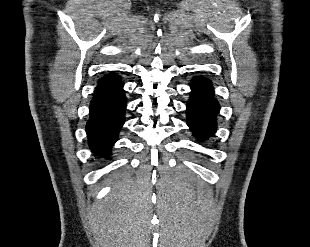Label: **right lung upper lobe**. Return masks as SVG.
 I'll return each mask as SVG.
<instances>
[{"mask_svg": "<svg viewBox=\"0 0 310 247\" xmlns=\"http://www.w3.org/2000/svg\"><path fill=\"white\" fill-rule=\"evenodd\" d=\"M118 80H119L118 75H109V76H106L100 79L98 83L101 84V83H107V82L118 81Z\"/></svg>", "mask_w": 310, "mask_h": 247, "instance_id": "1", "label": "right lung upper lobe"}]
</instances>
